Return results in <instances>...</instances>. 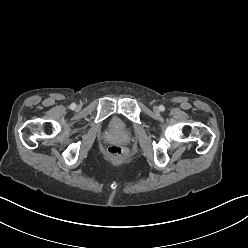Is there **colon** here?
<instances>
[{"instance_id":"5ec220e1","label":"colon","mask_w":248,"mask_h":248,"mask_svg":"<svg viewBox=\"0 0 248 248\" xmlns=\"http://www.w3.org/2000/svg\"><path fill=\"white\" fill-rule=\"evenodd\" d=\"M108 156L116 162L122 161L126 157V151L119 145H111L107 150Z\"/></svg>"}]
</instances>
